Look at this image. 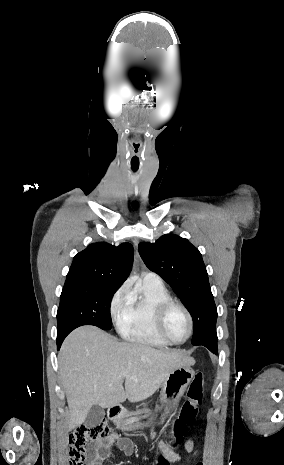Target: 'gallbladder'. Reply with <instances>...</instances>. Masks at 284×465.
Returning <instances> with one entry per match:
<instances>
[{
	"instance_id": "1",
	"label": "gallbladder",
	"mask_w": 284,
	"mask_h": 465,
	"mask_svg": "<svg viewBox=\"0 0 284 465\" xmlns=\"http://www.w3.org/2000/svg\"><path fill=\"white\" fill-rule=\"evenodd\" d=\"M104 417V409H101V407H98V405H93L85 419L84 425H87V427H91L92 429V427H97V425H100Z\"/></svg>"
}]
</instances>
